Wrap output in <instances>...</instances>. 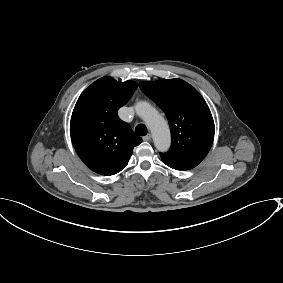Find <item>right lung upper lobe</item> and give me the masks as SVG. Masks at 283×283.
Here are the masks:
<instances>
[{
	"mask_svg": "<svg viewBox=\"0 0 283 283\" xmlns=\"http://www.w3.org/2000/svg\"><path fill=\"white\" fill-rule=\"evenodd\" d=\"M133 81L102 77L80 95L71 117L73 146L92 171L109 176L126 167L133 148L142 142L117 115L137 89Z\"/></svg>",
	"mask_w": 283,
	"mask_h": 283,
	"instance_id": "obj_1",
	"label": "right lung upper lobe"
}]
</instances>
